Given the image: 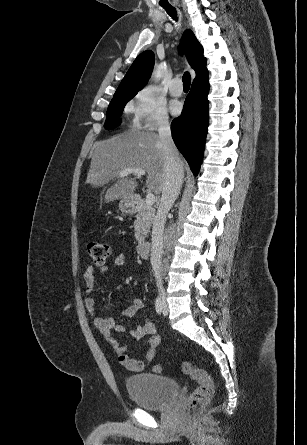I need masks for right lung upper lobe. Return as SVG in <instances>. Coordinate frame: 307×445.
Instances as JSON below:
<instances>
[{
    "label": "right lung upper lobe",
    "instance_id": "1",
    "mask_svg": "<svg viewBox=\"0 0 307 445\" xmlns=\"http://www.w3.org/2000/svg\"><path fill=\"white\" fill-rule=\"evenodd\" d=\"M184 44L188 52L189 63L196 72V76L205 72L206 58L203 56V48L192 31L184 33ZM154 66V54L147 50L142 52L133 62L125 77L121 81L111 102L134 97L147 83Z\"/></svg>",
    "mask_w": 307,
    "mask_h": 445
}]
</instances>
